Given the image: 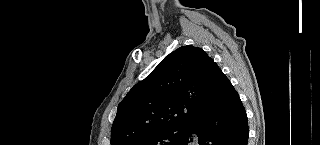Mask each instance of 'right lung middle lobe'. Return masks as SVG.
Listing matches in <instances>:
<instances>
[{"label": "right lung middle lobe", "mask_w": 320, "mask_h": 145, "mask_svg": "<svg viewBox=\"0 0 320 145\" xmlns=\"http://www.w3.org/2000/svg\"><path fill=\"white\" fill-rule=\"evenodd\" d=\"M184 134V127L165 128L152 132L131 145H176Z\"/></svg>", "instance_id": "dd1d6c3e"}]
</instances>
